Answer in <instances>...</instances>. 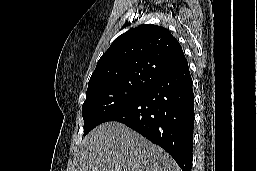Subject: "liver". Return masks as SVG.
I'll return each mask as SVG.
<instances>
[{"label":"liver","mask_w":257,"mask_h":171,"mask_svg":"<svg viewBox=\"0 0 257 171\" xmlns=\"http://www.w3.org/2000/svg\"><path fill=\"white\" fill-rule=\"evenodd\" d=\"M73 171H181L172 157L119 122L94 128L82 141Z\"/></svg>","instance_id":"obj_1"}]
</instances>
